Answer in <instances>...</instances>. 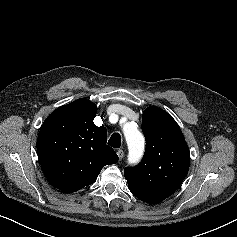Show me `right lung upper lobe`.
<instances>
[{"label": "right lung upper lobe", "mask_w": 237, "mask_h": 237, "mask_svg": "<svg viewBox=\"0 0 237 237\" xmlns=\"http://www.w3.org/2000/svg\"><path fill=\"white\" fill-rule=\"evenodd\" d=\"M97 107L87 99L61 106L44 121L37 139V153L48 181L63 192L93 184L101 169L118 162L106 145L107 130L93 119Z\"/></svg>", "instance_id": "1"}]
</instances>
